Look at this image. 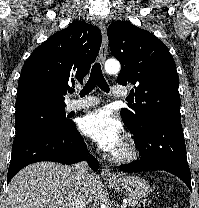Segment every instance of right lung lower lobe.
Masks as SVG:
<instances>
[{
    "label": "right lung lower lobe",
    "mask_w": 199,
    "mask_h": 208,
    "mask_svg": "<svg viewBox=\"0 0 199 208\" xmlns=\"http://www.w3.org/2000/svg\"><path fill=\"white\" fill-rule=\"evenodd\" d=\"M85 159L92 170L98 169L97 160L92 155L89 156L86 144L74 123L57 131L41 126L24 127L16 131L7 183L19 170L31 163L53 161L73 164Z\"/></svg>",
    "instance_id": "1"
}]
</instances>
